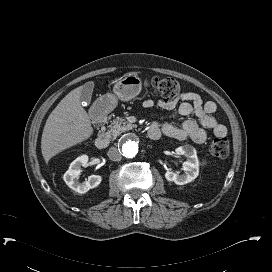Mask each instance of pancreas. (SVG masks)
Segmentation results:
<instances>
[{
  "instance_id": "1",
  "label": "pancreas",
  "mask_w": 272,
  "mask_h": 272,
  "mask_svg": "<svg viewBox=\"0 0 272 272\" xmlns=\"http://www.w3.org/2000/svg\"><path fill=\"white\" fill-rule=\"evenodd\" d=\"M133 128H134L133 124H130L121 118H116L112 125L110 126V130L107 131V134H109L114 140L116 139L117 136Z\"/></svg>"
}]
</instances>
